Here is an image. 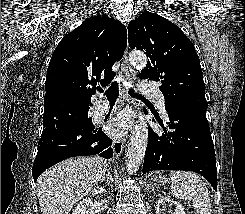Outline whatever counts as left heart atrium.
<instances>
[{"mask_svg":"<svg viewBox=\"0 0 245 214\" xmlns=\"http://www.w3.org/2000/svg\"><path fill=\"white\" fill-rule=\"evenodd\" d=\"M128 125V117L126 115L120 116L118 119L113 121L109 126V131L112 134H120Z\"/></svg>","mask_w":245,"mask_h":214,"instance_id":"39dd6f15","label":"left heart atrium"}]
</instances>
